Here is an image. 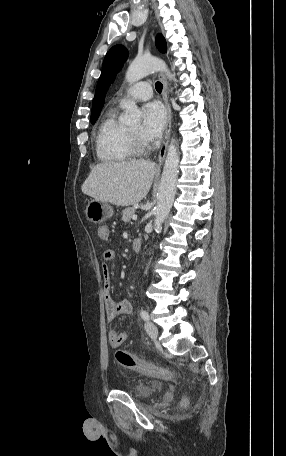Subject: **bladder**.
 Listing matches in <instances>:
<instances>
[{"mask_svg": "<svg viewBox=\"0 0 286 456\" xmlns=\"http://www.w3.org/2000/svg\"><path fill=\"white\" fill-rule=\"evenodd\" d=\"M158 391L155 383H137L129 390L136 397L147 398Z\"/></svg>", "mask_w": 286, "mask_h": 456, "instance_id": "1", "label": "bladder"}]
</instances>
